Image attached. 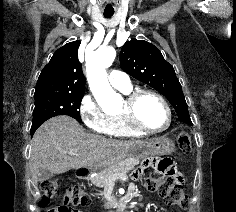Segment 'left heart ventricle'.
Instances as JSON below:
<instances>
[{
  "label": "left heart ventricle",
  "mask_w": 236,
  "mask_h": 212,
  "mask_svg": "<svg viewBox=\"0 0 236 212\" xmlns=\"http://www.w3.org/2000/svg\"><path fill=\"white\" fill-rule=\"evenodd\" d=\"M138 117L144 127L159 129L168 121V115L163 104L156 98L146 95L138 105Z\"/></svg>",
  "instance_id": "obj_1"
}]
</instances>
